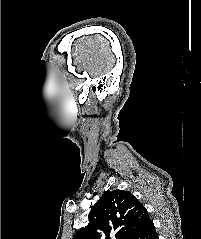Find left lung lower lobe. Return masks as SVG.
I'll use <instances>...</instances> for the list:
<instances>
[{
    "label": "left lung lower lobe",
    "instance_id": "left-lung-lower-lobe-1",
    "mask_svg": "<svg viewBox=\"0 0 201 239\" xmlns=\"http://www.w3.org/2000/svg\"><path fill=\"white\" fill-rule=\"evenodd\" d=\"M131 239H159L153 222L148 221Z\"/></svg>",
    "mask_w": 201,
    "mask_h": 239
}]
</instances>
